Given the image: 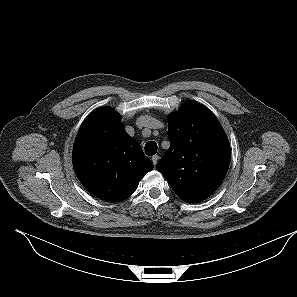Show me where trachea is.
Returning <instances> with one entry per match:
<instances>
[{
	"instance_id": "3493384b",
	"label": "trachea",
	"mask_w": 297,
	"mask_h": 297,
	"mask_svg": "<svg viewBox=\"0 0 297 297\" xmlns=\"http://www.w3.org/2000/svg\"><path fill=\"white\" fill-rule=\"evenodd\" d=\"M144 149H145L146 155L152 156L157 152V144L154 141H149L146 143Z\"/></svg>"
}]
</instances>
